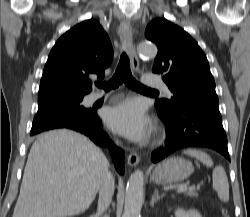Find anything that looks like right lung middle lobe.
Here are the masks:
<instances>
[{
	"instance_id": "dd1d6c3e",
	"label": "right lung middle lobe",
	"mask_w": 250,
	"mask_h": 217,
	"mask_svg": "<svg viewBox=\"0 0 250 217\" xmlns=\"http://www.w3.org/2000/svg\"><path fill=\"white\" fill-rule=\"evenodd\" d=\"M82 99L61 101L39 107L32 123L30 135H36L50 129L91 122L94 118V111L85 109L81 104Z\"/></svg>"
}]
</instances>
